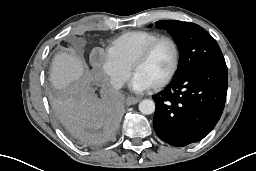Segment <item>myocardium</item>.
I'll return each instance as SVG.
<instances>
[{
  "label": "myocardium",
  "instance_id": "myocardium-1",
  "mask_svg": "<svg viewBox=\"0 0 256 171\" xmlns=\"http://www.w3.org/2000/svg\"><path fill=\"white\" fill-rule=\"evenodd\" d=\"M163 41L169 42L173 48V52H174L173 65H172V68H171L170 72L168 73V75L162 81L149 87L152 90H159V89L164 88L175 77V75L178 71V68H179V64H180V50H179L177 42L169 36H159L158 38H156V39L152 40L150 43H148L140 51V53L133 60L131 67H130L132 74H135L136 69L148 59V57L150 56L153 49L159 43H161Z\"/></svg>",
  "mask_w": 256,
  "mask_h": 171
}]
</instances>
